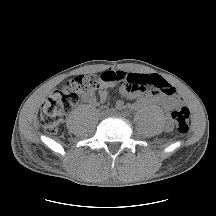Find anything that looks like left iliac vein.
Returning <instances> with one entry per match:
<instances>
[{
  "mask_svg": "<svg viewBox=\"0 0 216 216\" xmlns=\"http://www.w3.org/2000/svg\"><path fill=\"white\" fill-rule=\"evenodd\" d=\"M115 115H116V116H120L121 114H120V113H116Z\"/></svg>",
  "mask_w": 216,
  "mask_h": 216,
  "instance_id": "left-iliac-vein-1",
  "label": "left iliac vein"
}]
</instances>
